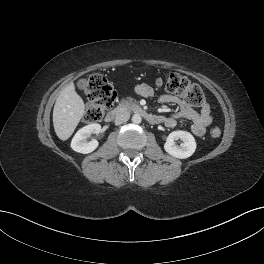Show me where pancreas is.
Masks as SVG:
<instances>
[{"label": "pancreas", "mask_w": 264, "mask_h": 264, "mask_svg": "<svg viewBox=\"0 0 264 264\" xmlns=\"http://www.w3.org/2000/svg\"><path fill=\"white\" fill-rule=\"evenodd\" d=\"M133 102V99H128V100H122L121 103L119 104L120 107L128 106Z\"/></svg>", "instance_id": "pancreas-1"}]
</instances>
